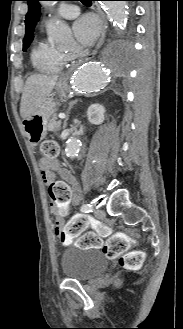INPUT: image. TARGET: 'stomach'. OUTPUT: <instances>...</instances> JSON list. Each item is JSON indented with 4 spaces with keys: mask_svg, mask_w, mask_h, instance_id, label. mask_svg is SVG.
Masks as SVG:
<instances>
[{
    "mask_svg": "<svg viewBox=\"0 0 183 329\" xmlns=\"http://www.w3.org/2000/svg\"><path fill=\"white\" fill-rule=\"evenodd\" d=\"M56 91L61 99L66 97V85L59 82ZM58 102L52 98L46 100L35 110V112L23 120V128L28 141L32 146H37L47 135L49 119L57 111Z\"/></svg>",
    "mask_w": 183,
    "mask_h": 329,
    "instance_id": "obj_1",
    "label": "stomach"
}]
</instances>
